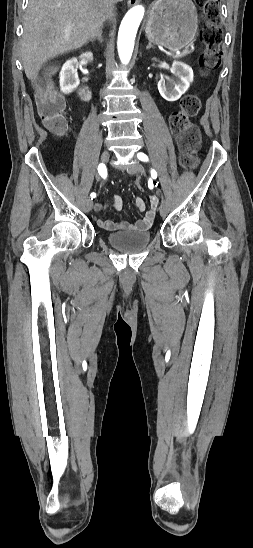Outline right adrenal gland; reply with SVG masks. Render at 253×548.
<instances>
[{"label": "right adrenal gland", "instance_id": "2a0ac1e0", "mask_svg": "<svg viewBox=\"0 0 253 548\" xmlns=\"http://www.w3.org/2000/svg\"><path fill=\"white\" fill-rule=\"evenodd\" d=\"M98 40L100 43L103 42V39H102V29L99 31L98 35L96 37H94L93 39H91L90 41L93 42L95 40Z\"/></svg>", "mask_w": 253, "mask_h": 548}]
</instances>
